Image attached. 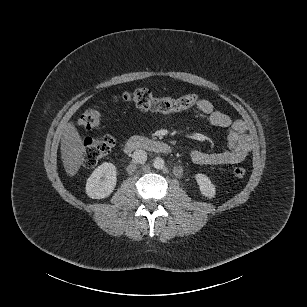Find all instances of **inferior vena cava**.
I'll return each mask as SVG.
<instances>
[{
  "mask_svg": "<svg viewBox=\"0 0 307 307\" xmlns=\"http://www.w3.org/2000/svg\"><path fill=\"white\" fill-rule=\"evenodd\" d=\"M132 161L136 164H143L147 161V153L144 150H136L132 155Z\"/></svg>",
  "mask_w": 307,
  "mask_h": 307,
  "instance_id": "inferior-vena-cava-1",
  "label": "inferior vena cava"
}]
</instances>
